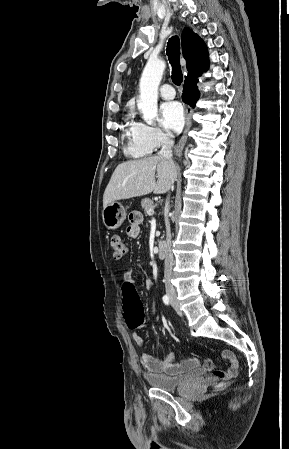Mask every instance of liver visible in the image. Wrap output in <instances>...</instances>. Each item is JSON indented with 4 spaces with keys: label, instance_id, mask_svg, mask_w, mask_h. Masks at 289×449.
<instances>
[{
    "label": "liver",
    "instance_id": "obj_1",
    "mask_svg": "<svg viewBox=\"0 0 289 449\" xmlns=\"http://www.w3.org/2000/svg\"><path fill=\"white\" fill-rule=\"evenodd\" d=\"M176 178L174 162L159 155L123 162L116 167L105 189L103 208L117 200L144 196L151 192L166 193L172 188Z\"/></svg>",
    "mask_w": 289,
    "mask_h": 449
}]
</instances>
